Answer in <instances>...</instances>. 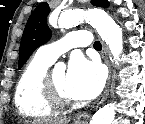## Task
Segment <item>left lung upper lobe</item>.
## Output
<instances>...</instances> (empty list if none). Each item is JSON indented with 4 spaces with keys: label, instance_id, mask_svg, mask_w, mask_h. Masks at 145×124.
<instances>
[{
    "label": "left lung upper lobe",
    "instance_id": "1",
    "mask_svg": "<svg viewBox=\"0 0 145 124\" xmlns=\"http://www.w3.org/2000/svg\"><path fill=\"white\" fill-rule=\"evenodd\" d=\"M92 4L99 7H108L109 5L107 0H92ZM49 12V5L43 2L29 17L20 43L19 68L24 65L35 49L51 38L52 32L46 21Z\"/></svg>",
    "mask_w": 145,
    "mask_h": 124
}]
</instances>
